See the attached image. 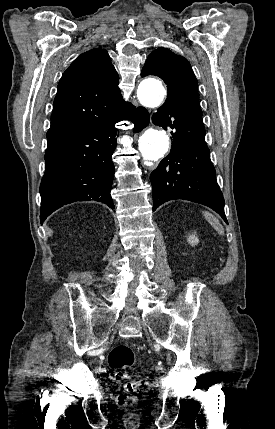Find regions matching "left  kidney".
Masks as SVG:
<instances>
[{
    "label": "left kidney",
    "mask_w": 275,
    "mask_h": 429,
    "mask_svg": "<svg viewBox=\"0 0 275 429\" xmlns=\"http://www.w3.org/2000/svg\"><path fill=\"white\" fill-rule=\"evenodd\" d=\"M188 242L192 245L195 246L199 243V239L195 234H191L188 237Z\"/></svg>",
    "instance_id": "1"
}]
</instances>
